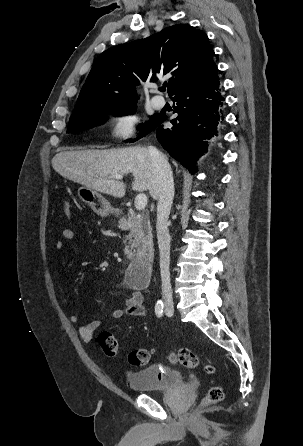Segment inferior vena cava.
Returning a JSON list of instances; mask_svg holds the SVG:
<instances>
[{"label": "inferior vena cava", "instance_id": "1", "mask_svg": "<svg viewBox=\"0 0 303 446\" xmlns=\"http://www.w3.org/2000/svg\"><path fill=\"white\" fill-rule=\"evenodd\" d=\"M152 160L153 173L157 186V239L160 252L161 288L164 301H172L170 284V234L168 218L174 197V182L171 167L165 155L155 147L148 148Z\"/></svg>", "mask_w": 303, "mask_h": 446}]
</instances>
